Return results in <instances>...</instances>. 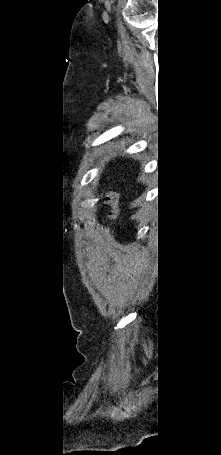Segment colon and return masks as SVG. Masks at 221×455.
<instances>
[{
	"label": "colon",
	"mask_w": 221,
	"mask_h": 455,
	"mask_svg": "<svg viewBox=\"0 0 221 455\" xmlns=\"http://www.w3.org/2000/svg\"><path fill=\"white\" fill-rule=\"evenodd\" d=\"M105 200L110 206L109 217L112 219L116 218L119 215V209H118V205H117L118 194L117 193H108L105 196Z\"/></svg>",
	"instance_id": "1"
}]
</instances>
